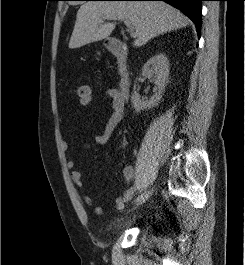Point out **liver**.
<instances>
[{
    "mask_svg": "<svg viewBox=\"0 0 245 265\" xmlns=\"http://www.w3.org/2000/svg\"><path fill=\"white\" fill-rule=\"evenodd\" d=\"M129 19L136 30L135 47L145 45L150 39L189 25V19L179 10L164 2L139 1H88L80 6L69 42V48H80L106 39L115 28L104 23L106 16Z\"/></svg>",
    "mask_w": 245,
    "mask_h": 265,
    "instance_id": "1",
    "label": "liver"
}]
</instances>
